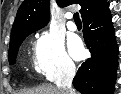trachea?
<instances>
[{
	"label": "trachea",
	"mask_w": 121,
	"mask_h": 94,
	"mask_svg": "<svg viewBox=\"0 0 121 94\" xmlns=\"http://www.w3.org/2000/svg\"><path fill=\"white\" fill-rule=\"evenodd\" d=\"M73 17H74V21H75V22H81V20H80V17H79V14H78V13H74Z\"/></svg>",
	"instance_id": "obj_1"
}]
</instances>
